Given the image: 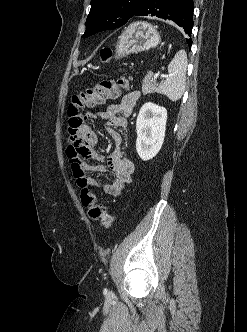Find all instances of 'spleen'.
<instances>
[{"mask_svg": "<svg viewBox=\"0 0 247 332\" xmlns=\"http://www.w3.org/2000/svg\"><path fill=\"white\" fill-rule=\"evenodd\" d=\"M187 55L179 50L168 65V77L159 84L158 93L166 95L171 101L179 100L186 85Z\"/></svg>", "mask_w": 247, "mask_h": 332, "instance_id": "obj_1", "label": "spleen"}]
</instances>
